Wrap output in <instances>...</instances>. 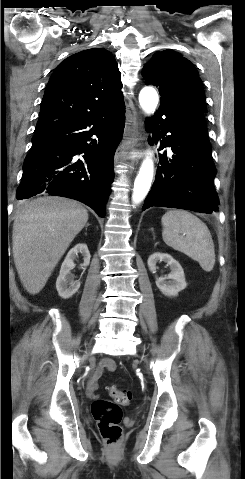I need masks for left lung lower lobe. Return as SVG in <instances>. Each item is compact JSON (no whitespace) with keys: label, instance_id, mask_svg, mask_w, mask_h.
Instances as JSON below:
<instances>
[{"label":"left lung lower lobe","instance_id":"1","mask_svg":"<svg viewBox=\"0 0 245 479\" xmlns=\"http://www.w3.org/2000/svg\"><path fill=\"white\" fill-rule=\"evenodd\" d=\"M160 150L171 147L173 155H159L155 181L143 210L168 207L211 214L219 198L213 180L216 174L208 139L204 112L193 107L160 106L152 120L146 121ZM151 141V140H150Z\"/></svg>","mask_w":245,"mask_h":479}]
</instances>
